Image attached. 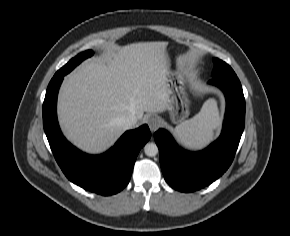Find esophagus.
Masks as SVG:
<instances>
[{
	"label": "esophagus",
	"mask_w": 290,
	"mask_h": 236,
	"mask_svg": "<svg viewBox=\"0 0 290 236\" xmlns=\"http://www.w3.org/2000/svg\"><path fill=\"white\" fill-rule=\"evenodd\" d=\"M160 122V118L157 116H150L147 118V124L152 132L158 129Z\"/></svg>",
	"instance_id": "obj_1"
}]
</instances>
